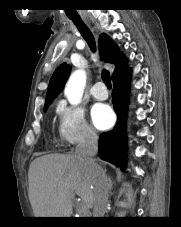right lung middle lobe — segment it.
<instances>
[{"label":"right lung middle lobe","mask_w":181,"mask_h":227,"mask_svg":"<svg viewBox=\"0 0 181 227\" xmlns=\"http://www.w3.org/2000/svg\"><path fill=\"white\" fill-rule=\"evenodd\" d=\"M49 105H50V104H45L44 110H46V109L48 108Z\"/></svg>","instance_id":"1"}]
</instances>
